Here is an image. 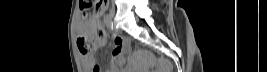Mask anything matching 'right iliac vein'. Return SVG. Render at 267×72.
I'll return each instance as SVG.
<instances>
[{
	"label": "right iliac vein",
	"mask_w": 267,
	"mask_h": 72,
	"mask_svg": "<svg viewBox=\"0 0 267 72\" xmlns=\"http://www.w3.org/2000/svg\"><path fill=\"white\" fill-rule=\"evenodd\" d=\"M110 15H111L112 18H114L115 17V12L112 11Z\"/></svg>",
	"instance_id": "right-iliac-vein-1"
}]
</instances>
